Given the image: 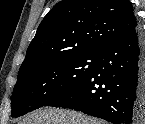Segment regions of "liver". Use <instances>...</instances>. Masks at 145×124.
<instances>
[{"mask_svg": "<svg viewBox=\"0 0 145 124\" xmlns=\"http://www.w3.org/2000/svg\"><path fill=\"white\" fill-rule=\"evenodd\" d=\"M20 124H101L75 111L63 109H44L36 111Z\"/></svg>", "mask_w": 145, "mask_h": 124, "instance_id": "6515ba94", "label": "liver"}]
</instances>
